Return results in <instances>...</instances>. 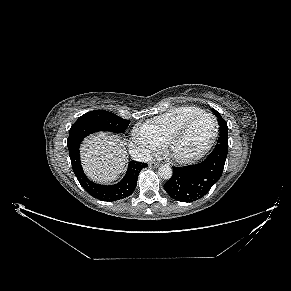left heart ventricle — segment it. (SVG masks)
Wrapping results in <instances>:
<instances>
[{
  "mask_svg": "<svg viewBox=\"0 0 291 291\" xmlns=\"http://www.w3.org/2000/svg\"><path fill=\"white\" fill-rule=\"evenodd\" d=\"M215 124L211 117L196 120L177 143L175 150L179 155L189 156L199 152L211 139Z\"/></svg>",
  "mask_w": 291,
  "mask_h": 291,
  "instance_id": "obj_1",
  "label": "left heart ventricle"
}]
</instances>
